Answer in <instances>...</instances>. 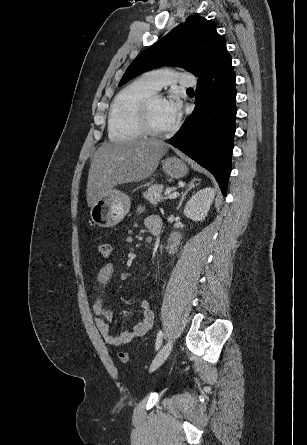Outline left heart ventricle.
<instances>
[{
	"instance_id": "1",
	"label": "left heart ventricle",
	"mask_w": 307,
	"mask_h": 445,
	"mask_svg": "<svg viewBox=\"0 0 307 445\" xmlns=\"http://www.w3.org/2000/svg\"><path fill=\"white\" fill-rule=\"evenodd\" d=\"M150 115L152 124L159 130H167L175 123L168 118L162 98H158L153 102Z\"/></svg>"
}]
</instances>
